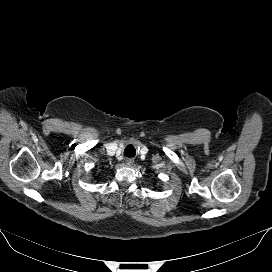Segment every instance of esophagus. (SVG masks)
I'll list each match as a JSON object with an SVG mask.
<instances>
[{"instance_id": "obj_1", "label": "esophagus", "mask_w": 272, "mask_h": 272, "mask_svg": "<svg viewBox=\"0 0 272 272\" xmlns=\"http://www.w3.org/2000/svg\"><path fill=\"white\" fill-rule=\"evenodd\" d=\"M134 163V158H126L125 165L126 166H132Z\"/></svg>"}]
</instances>
